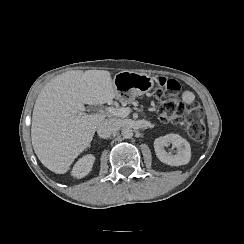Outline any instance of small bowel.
Returning <instances> with one entry per match:
<instances>
[{
    "instance_id": "c3829d8e",
    "label": "small bowel",
    "mask_w": 244,
    "mask_h": 244,
    "mask_svg": "<svg viewBox=\"0 0 244 244\" xmlns=\"http://www.w3.org/2000/svg\"><path fill=\"white\" fill-rule=\"evenodd\" d=\"M181 98L185 104H189L195 100V95L193 92L187 90L182 93Z\"/></svg>"
}]
</instances>
